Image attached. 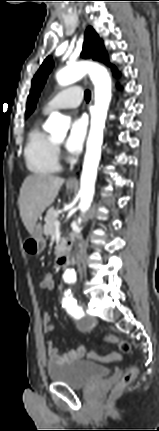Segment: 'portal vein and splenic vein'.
Returning <instances> with one entry per match:
<instances>
[{
  "label": "portal vein and splenic vein",
  "mask_w": 159,
  "mask_h": 431,
  "mask_svg": "<svg viewBox=\"0 0 159 431\" xmlns=\"http://www.w3.org/2000/svg\"><path fill=\"white\" fill-rule=\"evenodd\" d=\"M60 226V221L57 219L56 221H55V227H59Z\"/></svg>",
  "instance_id": "1"
}]
</instances>
